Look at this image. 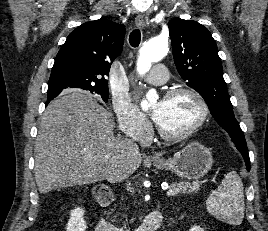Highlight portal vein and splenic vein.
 <instances>
[{
    "mask_svg": "<svg viewBox=\"0 0 268 231\" xmlns=\"http://www.w3.org/2000/svg\"><path fill=\"white\" fill-rule=\"evenodd\" d=\"M180 192L179 188H173L167 191V196H173Z\"/></svg>",
    "mask_w": 268,
    "mask_h": 231,
    "instance_id": "portal-vein-and-splenic-vein-1",
    "label": "portal vein and splenic vein"
}]
</instances>
